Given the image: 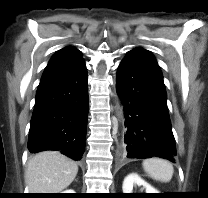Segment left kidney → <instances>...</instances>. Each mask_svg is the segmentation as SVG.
I'll return each instance as SVG.
<instances>
[{"label":"left kidney","mask_w":208,"mask_h":198,"mask_svg":"<svg viewBox=\"0 0 208 198\" xmlns=\"http://www.w3.org/2000/svg\"><path fill=\"white\" fill-rule=\"evenodd\" d=\"M142 186L145 193H159L157 189L152 187L149 183L144 181L139 175L132 173L125 177L122 185L123 193H132L133 186Z\"/></svg>","instance_id":"1"}]
</instances>
